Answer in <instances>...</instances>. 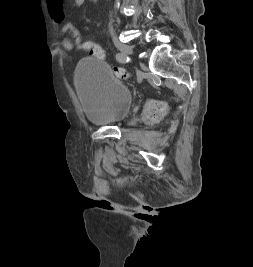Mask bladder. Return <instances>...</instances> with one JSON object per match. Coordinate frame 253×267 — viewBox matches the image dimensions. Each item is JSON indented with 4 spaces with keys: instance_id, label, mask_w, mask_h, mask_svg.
Wrapping results in <instances>:
<instances>
[{
    "instance_id": "1",
    "label": "bladder",
    "mask_w": 253,
    "mask_h": 267,
    "mask_svg": "<svg viewBox=\"0 0 253 267\" xmlns=\"http://www.w3.org/2000/svg\"><path fill=\"white\" fill-rule=\"evenodd\" d=\"M76 90L85 118L92 124L116 122L132 103L130 89L102 59H83L75 72Z\"/></svg>"
}]
</instances>
